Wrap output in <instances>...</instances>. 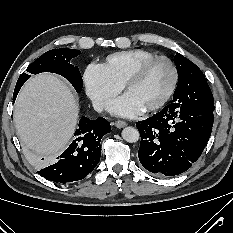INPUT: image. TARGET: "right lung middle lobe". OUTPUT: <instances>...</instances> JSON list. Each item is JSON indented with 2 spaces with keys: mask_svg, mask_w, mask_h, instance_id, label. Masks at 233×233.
Wrapping results in <instances>:
<instances>
[{
  "mask_svg": "<svg viewBox=\"0 0 233 233\" xmlns=\"http://www.w3.org/2000/svg\"><path fill=\"white\" fill-rule=\"evenodd\" d=\"M81 51L76 49L59 48L47 51L22 73L17 81L18 84L25 83L31 74L41 72L57 73L66 78L77 92L82 89V76L77 66L71 64V60L77 57Z\"/></svg>",
  "mask_w": 233,
  "mask_h": 233,
  "instance_id": "1",
  "label": "right lung middle lobe"
}]
</instances>
